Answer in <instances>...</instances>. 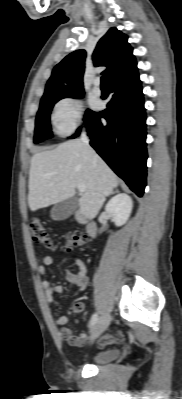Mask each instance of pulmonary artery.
Returning <instances> with one entry per match:
<instances>
[{
    "label": "pulmonary artery",
    "mask_w": 182,
    "mask_h": 399,
    "mask_svg": "<svg viewBox=\"0 0 182 399\" xmlns=\"http://www.w3.org/2000/svg\"><path fill=\"white\" fill-rule=\"evenodd\" d=\"M93 93L96 96H100L101 93H102L101 87H100V81L98 79H96L95 82H94Z\"/></svg>",
    "instance_id": "e3ab8cb5"
}]
</instances>
